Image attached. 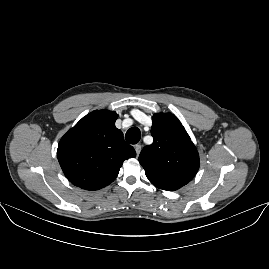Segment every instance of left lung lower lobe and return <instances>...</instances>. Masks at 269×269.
Returning a JSON list of instances; mask_svg holds the SVG:
<instances>
[{
  "mask_svg": "<svg viewBox=\"0 0 269 269\" xmlns=\"http://www.w3.org/2000/svg\"><path fill=\"white\" fill-rule=\"evenodd\" d=\"M161 189H164V190H167V191L177 190V189H169V188H161Z\"/></svg>",
  "mask_w": 269,
  "mask_h": 269,
  "instance_id": "left-lung-lower-lobe-1",
  "label": "left lung lower lobe"
}]
</instances>
